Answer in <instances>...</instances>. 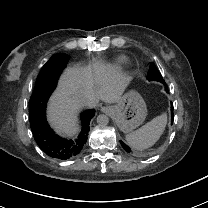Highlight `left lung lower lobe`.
I'll return each mask as SVG.
<instances>
[{"mask_svg":"<svg viewBox=\"0 0 208 208\" xmlns=\"http://www.w3.org/2000/svg\"><path fill=\"white\" fill-rule=\"evenodd\" d=\"M166 91L168 92L167 86L165 87ZM171 123H173V104L171 103ZM122 147L124 148L125 151L130 153V148L124 144L122 141H120Z\"/></svg>","mask_w":208,"mask_h":208,"instance_id":"obj_1","label":"left lung lower lobe"}]
</instances>
